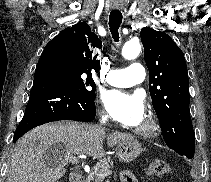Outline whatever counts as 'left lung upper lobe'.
<instances>
[{
  "label": "left lung upper lobe",
  "mask_w": 211,
  "mask_h": 182,
  "mask_svg": "<svg viewBox=\"0 0 211 182\" xmlns=\"http://www.w3.org/2000/svg\"><path fill=\"white\" fill-rule=\"evenodd\" d=\"M140 35L152 104L166 145L191 159L195 134L189 112V78L184 54L164 32L144 27Z\"/></svg>",
  "instance_id": "1"
}]
</instances>
